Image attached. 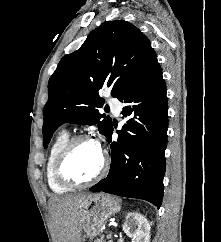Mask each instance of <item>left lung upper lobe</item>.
<instances>
[{"mask_svg": "<svg viewBox=\"0 0 221 242\" xmlns=\"http://www.w3.org/2000/svg\"><path fill=\"white\" fill-rule=\"evenodd\" d=\"M157 66L149 39L133 24L115 20L100 25L77 51L61 59L50 77L44 107L45 148L65 122L98 124L107 136L112 121L97 109L103 105L98 90L111 87L112 96L120 100Z\"/></svg>", "mask_w": 221, "mask_h": 242, "instance_id": "1", "label": "left lung upper lobe"}]
</instances>
